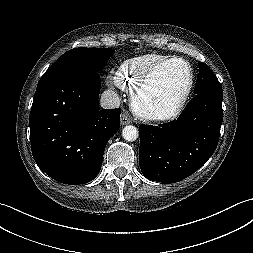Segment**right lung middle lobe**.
Segmentation results:
<instances>
[{"label":"right lung middle lobe","instance_id":"1","mask_svg":"<svg viewBox=\"0 0 253 253\" xmlns=\"http://www.w3.org/2000/svg\"><path fill=\"white\" fill-rule=\"evenodd\" d=\"M113 49L101 48H76L62 56L44 73L41 80L67 73H89L97 76L101 69L113 54Z\"/></svg>","mask_w":253,"mask_h":253}]
</instances>
